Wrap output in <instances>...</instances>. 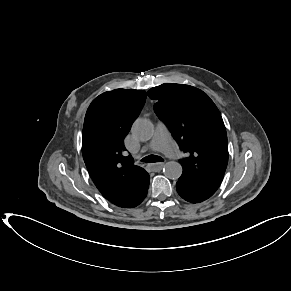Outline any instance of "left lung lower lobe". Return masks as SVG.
Segmentation results:
<instances>
[{"label": "left lung lower lobe", "instance_id": "left-lung-lower-lobe-1", "mask_svg": "<svg viewBox=\"0 0 291 291\" xmlns=\"http://www.w3.org/2000/svg\"><path fill=\"white\" fill-rule=\"evenodd\" d=\"M178 194L186 201L200 203L210 198L216 190L208 188L193 179L181 175L176 183Z\"/></svg>", "mask_w": 291, "mask_h": 291}]
</instances>
